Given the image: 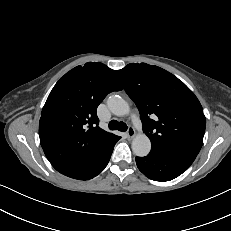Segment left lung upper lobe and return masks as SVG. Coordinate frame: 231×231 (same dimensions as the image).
<instances>
[{
    "mask_svg": "<svg viewBox=\"0 0 231 231\" xmlns=\"http://www.w3.org/2000/svg\"><path fill=\"white\" fill-rule=\"evenodd\" d=\"M140 112L152 149L196 157L206 127L195 94L176 76L146 63H131L116 71Z\"/></svg>",
    "mask_w": 231,
    "mask_h": 231,
    "instance_id": "obj_1",
    "label": "left lung upper lobe"
}]
</instances>
